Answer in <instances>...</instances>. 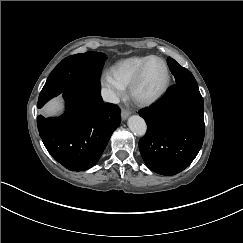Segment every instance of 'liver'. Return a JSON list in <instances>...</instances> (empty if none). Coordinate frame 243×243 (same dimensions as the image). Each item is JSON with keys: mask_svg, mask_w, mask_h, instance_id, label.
Returning <instances> with one entry per match:
<instances>
[{"mask_svg": "<svg viewBox=\"0 0 243 243\" xmlns=\"http://www.w3.org/2000/svg\"><path fill=\"white\" fill-rule=\"evenodd\" d=\"M63 110V101L61 97H56L49 101L43 108L42 112L46 116L57 115Z\"/></svg>", "mask_w": 243, "mask_h": 243, "instance_id": "1", "label": "liver"}]
</instances>
